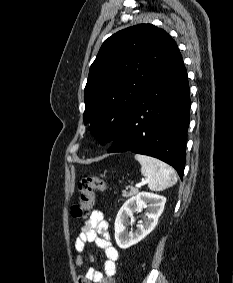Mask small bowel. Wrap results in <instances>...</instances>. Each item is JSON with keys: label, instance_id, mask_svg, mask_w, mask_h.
I'll return each mask as SVG.
<instances>
[{"label": "small bowel", "instance_id": "1", "mask_svg": "<svg viewBox=\"0 0 233 283\" xmlns=\"http://www.w3.org/2000/svg\"><path fill=\"white\" fill-rule=\"evenodd\" d=\"M109 224L101 210H93L84 221L81 233L75 241L76 265L82 267L86 256V245L93 243L96 247L103 249L105 261L103 264L104 273L95 268H90L85 274L78 278L79 283H115L116 262L119 258L118 250L113 246L108 231ZM91 260V256H88Z\"/></svg>", "mask_w": 233, "mask_h": 283}]
</instances>
